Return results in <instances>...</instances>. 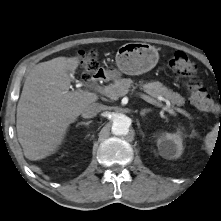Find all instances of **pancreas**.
<instances>
[{"mask_svg": "<svg viewBox=\"0 0 221 221\" xmlns=\"http://www.w3.org/2000/svg\"><path fill=\"white\" fill-rule=\"evenodd\" d=\"M133 80L129 79H119L116 80L113 84H110L109 87L111 89V98H118L122 96V92L124 90H128L131 86H133ZM140 88L150 95L153 98L164 97L169 100L173 105L182 106L185 102L184 98L178 94L163 86L159 81H151V82H139Z\"/></svg>", "mask_w": 221, "mask_h": 221, "instance_id": "pancreas-1", "label": "pancreas"}]
</instances>
